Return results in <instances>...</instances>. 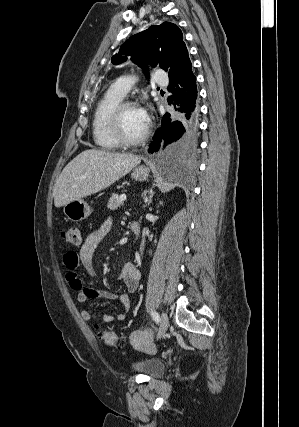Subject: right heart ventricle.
<instances>
[{"label":"right heart ventricle","instance_id":"obj_1","mask_svg":"<svg viewBox=\"0 0 299 427\" xmlns=\"http://www.w3.org/2000/svg\"><path fill=\"white\" fill-rule=\"evenodd\" d=\"M123 96L109 88L97 102L92 118V137L97 148L104 151L115 150L119 145L109 131V116Z\"/></svg>","mask_w":299,"mask_h":427}]
</instances>
